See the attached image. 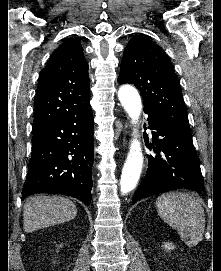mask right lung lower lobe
I'll return each mask as SVG.
<instances>
[{
    "label": "right lung lower lobe",
    "instance_id": "right-lung-lower-lobe-1",
    "mask_svg": "<svg viewBox=\"0 0 221 271\" xmlns=\"http://www.w3.org/2000/svg\"><path fill=\"white\" fill-rule=\"evenodd\" d=\"M94 118L91 107L32 130L22 200L37 193L92 199Z\"/></svg>",
    "mask_w": 221,
    "mask_h": 271
}]
</instances>
